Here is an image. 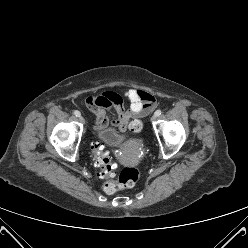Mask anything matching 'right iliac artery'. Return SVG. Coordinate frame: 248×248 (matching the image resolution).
I'll list each match as a JSON object with an SVG mask.
<instances>
[{
  "label": "right iliac artery",
  "mask_w": 248,
  "mask_h": 248,
  "mask_svg": "<svg viewBox=\"0 0 248 248\" xmlns=\"http://www.w3.org/2000/svg\"><path fill=\"white\" fill-rule=\"evenodd\" d=\"M74 115L77 116V117H79V116H80V112L77 111V110H75V111H74Z\"/></svg>",
  "instance_id": "1"
}]
</instances>
